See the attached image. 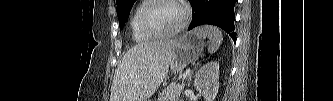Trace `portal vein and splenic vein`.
<instances>
[{
  "label": "portal vein and splenic vein",
  "instance_id": "portal-vein-and-splenic-vein-1",
  "mask_svg": "<svg viewBox=\"0 0 333 101\" xmlns=\"http://www.w3.org/2000/svg\"><path fill=\"white\" fill-rule=\"evenodd\" d=\"M188 76V73H185L182 77V83H184L185 78Z\"/></svg>",
  "mask_w": 333,
  "mask_h": 101
}]
</instances>
